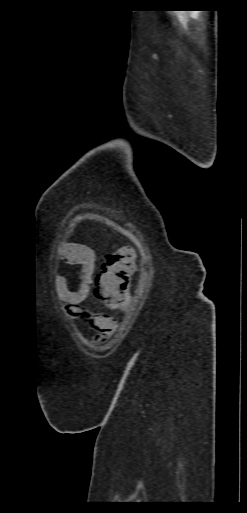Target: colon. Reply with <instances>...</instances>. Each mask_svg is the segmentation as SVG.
I'll list each match as a JSON object with an SVG mask.
<instances>
[{"instance_id": "1", "label": "colon", "mask_w": 247, "mask_h": 513, "mask_svg": "<svg viewBox=\"0 0 247 513\" xmlns=\"http://www.w3.org/2000/svg\"><path fill=\"white\" fill-rule=\"evenodd\" d=\"M136 261L129 249L107 254L94 276L93 292L110 309H121L129 296Z\"/></svg>"}]
</instances>
